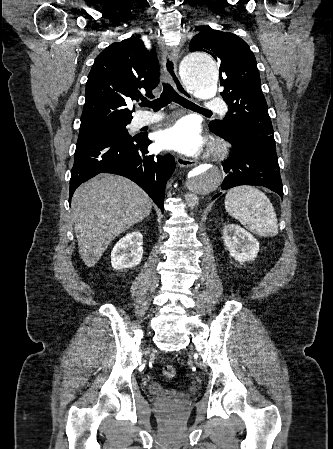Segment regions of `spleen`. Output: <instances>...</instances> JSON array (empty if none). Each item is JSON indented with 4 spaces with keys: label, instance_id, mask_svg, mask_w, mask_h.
I'll return each mask as SVG.
<instances>
[{
    "label": "spleen",
    "instance_id": "obj_1",
    "mask_svg": "<svg viewBox=\"0 0 333 449\" xmlns=\"http://www.w3.org/2000/svg\"><path fill=\"white\" fill-rule=\"evenodd\" d=\"M225 209L255 234L274 236L278 233L276 212L266 194L242 185L230 189L225 196Z\"/></svg>",
    "mask_w": 333,
    "mask_h": 449
}]
</instances>
